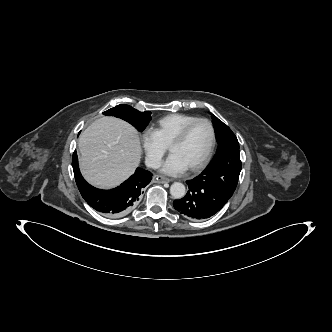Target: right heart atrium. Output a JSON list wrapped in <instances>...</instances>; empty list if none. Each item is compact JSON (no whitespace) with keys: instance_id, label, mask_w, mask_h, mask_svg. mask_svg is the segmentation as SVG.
<instances>
[{"instance_id":"obj_1","label":"right heart atrium","mask_w":332,"mask_h":332,"mask_svg":"<svg viewBox=\"0 0 332 332\" xmlns=\"http://www.w3.org/2000/svg\"><path fill=\"white\" fill-rule=\"evenodd\" d=\"M141 145L146 164L156 168L166 151V147L159 141L151 129H146L141 135Z\"/></svg>"}]
</instances>
